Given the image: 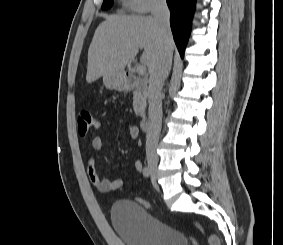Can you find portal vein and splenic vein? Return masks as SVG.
<instances>
[{
    "label": "portal vein and splenic vein",
    "instance_id": "1",
    "mask_svg": "<svg viewBox=\"0 0 283 245\" xmlns=\"http://www.w3.org/2000/svg\"><path fill=\"white\" fill-rule=\"evenodd\" d=\"M136 71L139 75H144L147 71L146 65H144V64L137 65Z\"/></svg>",
    "mask_w": 283,
    "mask_h": 245
}]
</instances>
